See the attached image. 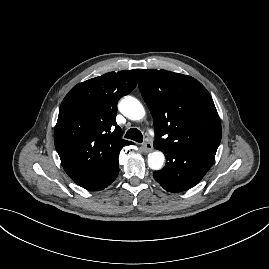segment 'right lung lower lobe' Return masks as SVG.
<instances>
[{"label":"right lung lower lobe","instance_id":"1","mask_svg":"<svg viewBox=\"0 0 269 269\" xmlns=\"http://www.w3.org/2000/svg\"><path fill=\"white\" fill-rule=\"evenodd\" d=\"M119 173L118 157L115 158L103 171L91 181L80 185L91 191H99L109 186Z\"/></svg>","mask_w":269,"mask_h":269}]
</instances>
